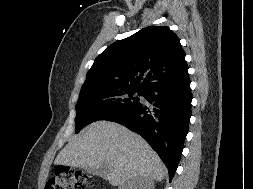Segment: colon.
<instances>
[{
	"label": "colon",
	"instance_id": "obj_1",
	"mask_svg": "<svg viewBox=\"0 0 253 189\" xmlns=\"http://www.w3.org/2000/svg\"><path fill=\"white\" fill-rule=\"evenodd\" d=\"M92 179L85 173L60 166L48 180L45 189H88Z\"/></svg>",
	"mask_w": 253,
	"mask_h": 189
}]
</instances>
